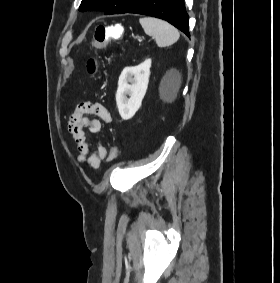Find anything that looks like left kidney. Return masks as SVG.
I'll list each match as a JSON object with an SVG mask.
<instances>
[{
    "label": "left kidney",
    "instance_id": "left-kidney-1",
    "mask_svg": "<svg viewBox=\"0 0 280 283\" xmlns=\"http://www.w3.org/2000/svg\"><path fill=\"white\" fill-rule=\"evenodd\" d=\"M151 63V59H147L140 65L126 67L119 77L116 103L124 120L131 119L141 107L148 88Z\"/></svg>",
    "mask_w": 280,
    "mask_h": 283
}]
</instances>
